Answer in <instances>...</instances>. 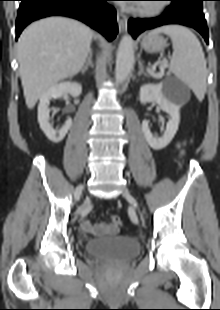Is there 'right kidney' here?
Segmentation results:
<instances>
[{
    "label": "right kidney",
    "instance_id": "obj_1",
    "mask_svg": "<svg viewBox=\"0 0 220 310\" xmlns=\"http://www.w3.org/2000/svg\"><path fill=\"white\" fill-rule=\"evenodd\" d=\"M81 91L82 87L79 83L64 81L52 85L40 97V102L38 106V122L44 134L53 143H59L64 139L68 130L72 126V119L68 118L65 124L60 129H54L49 123L50 100L52 98H60L65 94H70L72 97H78L81 94Z\"/></svg>",
    "mask_w": 220,
    "mask_h": 310
}]
</instances>
